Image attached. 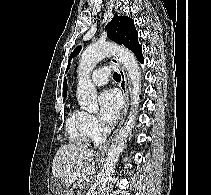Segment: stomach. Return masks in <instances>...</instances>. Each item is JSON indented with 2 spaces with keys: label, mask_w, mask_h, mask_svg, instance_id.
I'll use <instances>...</instances> for the list:
<instances>
[{
  "label": "stomach",
  "mask_w": 211,
  "mask_h": 195,
  "mask_svg": "<svg viewBox=\"0 0 211 195\" xmlns=\"http://www.w3.org/2000/svg\"><path fill=\"white\" fill-rule=\"evenodd\" d=\"M55 181H56V187H57V189H59V188H61V187L63 186V183H62L61 180L55 179ZM53 183H54V181H53ZM52 186H53V185H52ZM58 193H59V195H61V194H60L61 191H58Z\"/></svg>",
  "instance_id": "obj_1"
}]
</instances>
